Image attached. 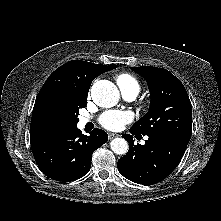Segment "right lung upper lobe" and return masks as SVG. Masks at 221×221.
Instances as JSON below:
<instances>
[{
	"label": "right lung upper lobe",
	"instance_id": "1",
	"mask_svg": "<svg viewBox=\"0 0 221 221\" xmlns=\"http://www.w3.org/2000/svg\"><path fill=\"white\" fill-rule=\"evenodd\" d=\"M116 67L71 60L57 68L45 81L36 98L30 125L31 144L66 129L56 122V109L73 102H87L92 81Z\"/></svg>",
	"mask_w": 221,
	"mask_h": 221
}]
</instances>
